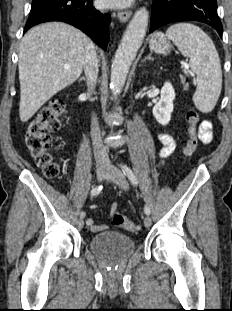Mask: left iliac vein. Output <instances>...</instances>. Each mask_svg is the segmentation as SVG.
Masks as SVG:
<instances>
[{"label": "left iliac vein", "mask_w": 232, "mask_h": 311, "mask_svg": "<svg viewBox=\"0 0 232 311\" xmlns=\"http://www.w3.org/2000/svg\"><path fill=\"white\" fill-rule=\"evenodd\" d=\"M109 172L107 175V179L114 182L118 185L122 190L127 191L129 189V183L125 177V175L115 166H109ZM152 224L151 218L147 215L144 218V225L146 228L150 227Z\"/></svg>", "instance_id": "left-iliac-vein-1"}]
</instances>
